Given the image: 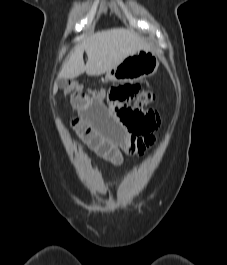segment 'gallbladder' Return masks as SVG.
I'll list each match as a JSON object with an SVG mask.
<instances>
[{
	"mask_svg": "<svg viewBox=\"0 0 227 265\" xmlns=\"http://www.w3.org/2000/svg\"><path fill=\"white\" fill-rule=\"evenodd\" d=\"M58 85H59L60 88H65L66 85H67V80L64 79V78L59 79Z\"/></svg>",
	"mask_w": 227,
	"mask_h": 265,
	"instance_id": "gallbladder-1",
	"label": "gallbladder"
}]
</instances>
